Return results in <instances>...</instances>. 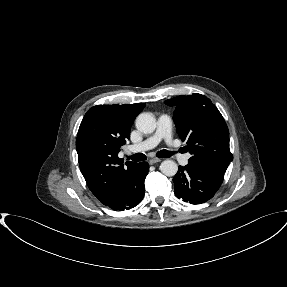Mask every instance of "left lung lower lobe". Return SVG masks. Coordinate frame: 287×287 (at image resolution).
<instances>
[{
    "mask_svg": "<svg viewBox=\"0 0 287 287\" xmlns=\"http://www.w3.org/2000/svg\"><path fill=\"white\" fill-rule=\"evenodd\" d=\"M224 174L212 169L188 164L179 166L173 178L177 198L191 204H201L211 199L223 182Z\"/></svg>",
    "mask_w": 287,
    "mask_h": 287,
    "instance_id": "obj_1",
    "label": "left lung lower lobe"
}]
</instances>
